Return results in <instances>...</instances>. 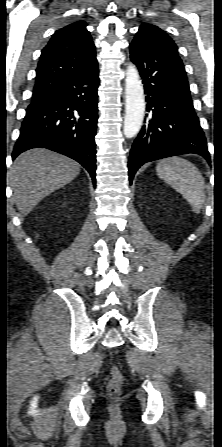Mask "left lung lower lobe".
<instances>
[{
	"label": "left lung lower lobe",
	"instance_id": "left-lung-lower-lobe-1",
	"mask_svg": "<svg viewBox=\"0 0 222 447\" xmlns=\"http://www.w3.org/2000/svg\"><path fill=\"white\" fill-rule=\"evenodd\" d=\"M130 58L143 79L148 112L130 152V184L138 168L153 160L194 153L209 162L207 142L177 51L156 40L135 36Z\"/></svg>",
	"mask_w": 222,
	"mask_h": 447
}]
</instances>
